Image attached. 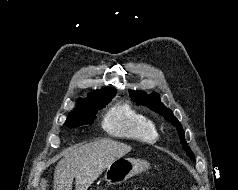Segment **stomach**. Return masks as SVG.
I'll use <instances>...</instances> for the list:
<instances>
[{"instance_id":"0dacf381","label":"stomach","mask_w":238,"mask_h":190,"mask_svg":"<svg viewBox=\"0 0 238 190\" xmlns=\"http://www.w3.org/2000/svg\"><path fill=\"white\" fill-rule=\"evenodd\" d=\"M148 164L144 160L123 158L117 159L107 167L105 180L110 185L120 184L136 174L146 170Z\"/></svg>"}]
</instances>
